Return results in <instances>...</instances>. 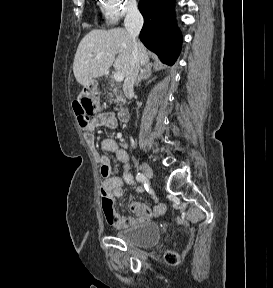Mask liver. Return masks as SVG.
<instances>
[{"mask_svg":"<svg viewBox=\"0 0 273 288\" xmlns=\"http://www.w3.org/2000/svg\"><path fill=\"white\" fill-rule=\"evenodd\" d=\"M137 48L140 64L150 65L146 47L137 42ZM132 49L133 41L125 29L90 31L79 43L75 54L73 73L77 82L88 87L94 78L106 75L112 65L126 76Z\"/></svg>","mask_w":273,"mask_h":288,"instance_id":"liver-1","label":"liver"}]
</instances>
